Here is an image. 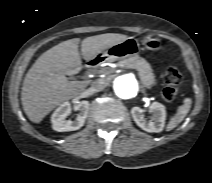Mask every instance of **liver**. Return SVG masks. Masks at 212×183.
Wrapping results in <instances>:
<instances>
[{
	"instance_id": "1",
	"label": "liver",
	"mask_w": 212,
	"mask_h": 183,
	"mask_svg": "<svg viewBox=\"0 0 212 183\" xmlns=\"http://www.w3.org/2000/svg\"><path fill=\"white\" fill-rule=\"evenodd\" d=\"M127 38L107 33L87 37L81 42L86 61L95 59L109 46ZM79 39L63 41L44 52L32 65L23 81L21 101L27 117L39 123L56 106L79 95L86 81H68L66 75L79 73L83 66L78 51Z\"/></svg>"
}]
</instances>
